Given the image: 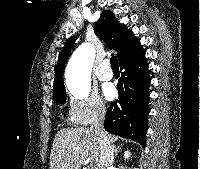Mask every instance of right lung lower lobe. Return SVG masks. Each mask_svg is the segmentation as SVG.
<instances>
[{"instance_id": "98d812e1", "label": "right lung lower lobe", "mask_w": 200, "mask_h": 169, "mask_svg": "<svg viewBox=\"0 0 200 169\" xmlns=\"http://www.w3.org/2000/svg\"><path fill=\"white\" fill-rule=\"evenodd\" d=\"M120 69L119 100L108 108L104 127L108 132L135 140L145 147L151 79L144 51L124 60Z\"/></svg>"}]
</instances>
